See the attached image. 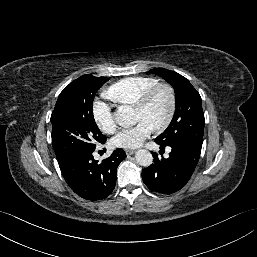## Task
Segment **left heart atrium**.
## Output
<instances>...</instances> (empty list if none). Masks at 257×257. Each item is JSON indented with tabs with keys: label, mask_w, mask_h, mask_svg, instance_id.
Instances as JSON below:
<instances>
[{
	"label": "left heart atrium",
	"mask_w": 257,
	"mask_h": 257,
	"mask_svg": "<svg viewBox=\"0 0 257 257\" xmlns=\"http://www.w3.org/2000/svg\"><path fill=\"white\" fill-rule=\"evenodd\" d=\"M152 128L144 121H139L131 128L121 130L112 140L114 146L124 149L139 147L151 134Z\"/></svg>",
	"instance_id": "39dd6f15"
}]
</instances>
